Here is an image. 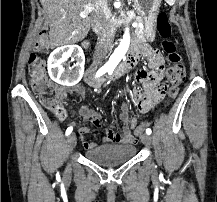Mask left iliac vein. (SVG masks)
<instances>
[{
	"label": "left iliac vein",
	"mask_w": 217,
	"mask_h": 202,
	"mask_svg": "<svg viewBox=\"0 0 217 202\" xmlns=\"http://www.w3.org/2000/svg\"><path fill=\"white\" fill-rule=\"evenodd\" d=\"M141 139H142V142H143L145 145H148V146L151 145L152 139H151V136H150V135H148V134H143V135H141Z\"/></svg>",
	"instance_id": "left-iliac-vein-1"
}]
</instances>
